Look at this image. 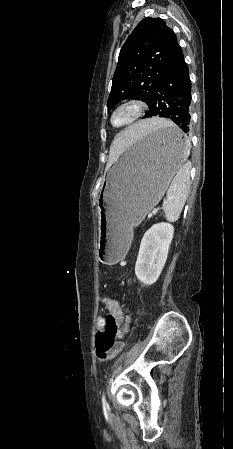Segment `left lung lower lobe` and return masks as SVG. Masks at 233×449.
<instances>
[{
  "label": "left lung lower lobe",
  "mask_w": 233,
  "mask_h": 449,
  "mask_svg": "<svg viewBox=\"0 0 233 449\" xmlns=\"http://www.w3.org/2000/svg\"><path fill=\"white\" fill-rule=\"evenodd\" d=\"M190 105L191 81L182 53L157 84L151 107L144 118L158 116L171 119L187 134L190 131ZM182 131L181 134L164 132L158 139L171 148H180L188 142Z\"/></svg>",
  "instance_id": "left-lung-lower-lobe-1"
}]
</instances>
